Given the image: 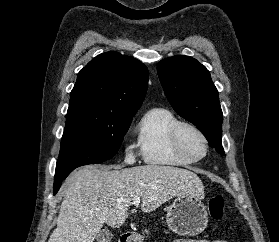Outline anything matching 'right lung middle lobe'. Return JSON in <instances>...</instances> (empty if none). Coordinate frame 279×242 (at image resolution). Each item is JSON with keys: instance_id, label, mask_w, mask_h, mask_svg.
Instances as JSON below:
<instances>
[{"instance_id": "obj_1", "label": "right lung middle lobe", "mask_w": 279, "mask_h": 242, "mask_svg": "<svg viewBox=\"0 0 279 242\" xmlns=\"http://www.w3.org/2000/svg\"><path fill=\"white\" fill-rule=\"evenodd\" d=\"M131 120L132 117L95 119L67 114L54 181L67 177L79 166L112 158L120 148Z\"/></svg>"}]
</instances>
